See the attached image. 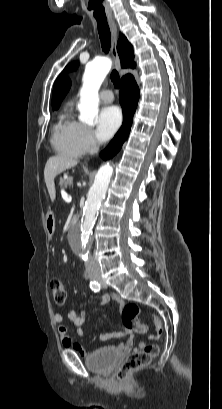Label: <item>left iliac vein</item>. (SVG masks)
Returning <instances> with one entry per match:
<instances>
[{"mask_svg": "<svg viewBox=\"0 0 222 409\" xmlns=\"http://www.w3.org/2000/svg\"><path fill=\"white\" fill-rule=\"evenodd\" d=\"M98 281L100 282V284H101V286L103 287V288H106L107 287V284L105 283V281L102 279V278H98Z\"/></svg>", "mask_w": 222, "mask_h": 409, "instance_id": "left-iliac-vein-1", "label": "left iliac vein"}]
</instances>
